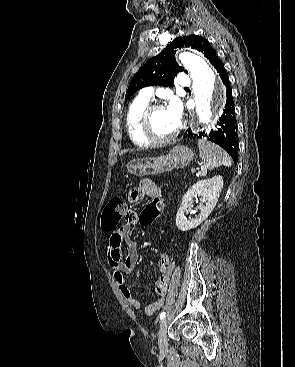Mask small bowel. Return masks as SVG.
<instances>
[{
	"label": "small bowel",
	"mask_w": 295,
	"mask_h": 367,
	"mask_svg": "<svg viewBox=\"0 0 295 367\" xmlns=\"http://www.w3.org/2000/svg\"><path fill=\"white\" fill-rule=\"evenodd\" d=\"M153 195H162L161 188L151 179H143L138 187L132 189L129 193V201L137 203L144 197ZM137 208H129L126 212V222L112 230L107 244V260L114 271V278L120 292L128 304L136 309L141 308V303L135 299L128 288L125 275H131L138 264V244L131 237V229L141 222V216L138 215ZM125 244L126 251L123 254L122 245ZM159 277L155 282V290L158 294L156 300L144 308L146 315H152L162 308L165 301V294L168 287L171 273V263L167 254L161 253L159 259Z\"/></svg>",
	"instance_id": "small-bowel-1"
}]
</instances>
